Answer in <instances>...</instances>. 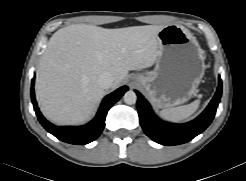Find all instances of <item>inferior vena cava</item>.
Wrapping results in <instances>:
<instances>
[{
    "label": "inferior vena cava",
    "instance_id": "602c4592",
    "mask_svg": "<svg viewBox=\"0 0 246 181\" xmlns=\"http://www.w3.org/2000/svg\"><path fill=\"white\" fill-rule=\"evenodd\" d=\"M98 85L103 89H109L113 86L114 76L110 72H103L98 77Z\"/></svg>",
    "mask_w": 246,
    "mask_h": 181
}]
</instances>
